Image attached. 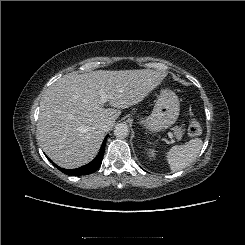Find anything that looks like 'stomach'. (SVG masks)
<instances>
[{
  "label": "stomach",
  "mask_w": 245,
  "mask_h": 245,
  "mask_svg": "<svg viewBox=\"0 0 245 245\" xmlns=\"http://www.w3.org/2000/svg\"><path fill=\"white\" fill-rule=\"evenodd\" d=\"M180 102L177 95L163 89L155 103L152 113L142 117L139 123L152 132H160L171 127L178 119Z\"/></svg>",
  "instance_id": "0dacf381"
}]
</instances>
